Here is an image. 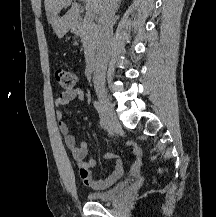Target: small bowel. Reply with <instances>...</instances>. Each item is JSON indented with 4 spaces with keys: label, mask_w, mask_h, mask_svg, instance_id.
Returning <instances> with one entry per match:
<instances>
[{
    "label": "small bowel",
    "mask_w": 216,
    "mask_h": 217,
    "mask_svg": "<svg viewBox=\"0 0 216 217\" xmlns=\"http://www.w3.org/2000/svg\"><path fill=\"white\" fill-rule=\"evenodd\" d=\"M86 97V92L83 88L76 87L72 90L62 91L55 100L57 108L66 106L73 101H81ZM57 124L58 130L63 137L64 145L75 160L82 181L87 186L93 189H103L112 186L116 183L124 174V162L123 159L113 153H105L104 157L108 160H114L111 171L104 177L95 178L91 172V168L95 166L96 161L94 159L86 160L89 147L86 141H82L79 144L76 142L75 137L70 133L67 123L63 119V114L60 109L57 110ZM129 149L133 155V161L130 167L129 174L135 176L141 169L142 162L140 158V150L135 143L129 144Z\"/></svg>",
    "instance_id": "obj_1"
}]
</instances>
